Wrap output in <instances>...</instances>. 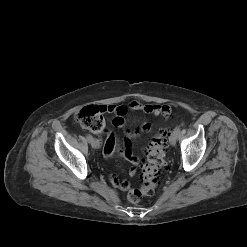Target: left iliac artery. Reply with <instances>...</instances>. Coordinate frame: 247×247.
I'll use <instances>...</instances> for the list:
<instances>
[{
	"mask_svg": "<svg viewBox=\"0 0 247 247\" xmlns=\"http://www.w3.org/2000/svg\"><path fill=\"white\" fill-rule=\"evenodd\" d=\"M174 131H175L176 133H180V127L177 126V127L174 129Z\"/></svg>",
	"mask_w": 247,
	"mask_h": 247,
	"instance_id": "44dca946",
	"label": "left iliac artery"
}]
</instances>
